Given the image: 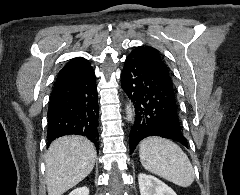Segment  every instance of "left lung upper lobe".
I'll list each match as a JSON object with an SVG mask.
<instances>
[{"instance_id": "1", "label": "left lung upper lobe", "mask_w": 240, "mask_h": 195, "mask_svg": "<svg viewBox=\"0 0 240 195\" xmlns=\"http://www.w3.org/2000/svg\"><path fill=\"white\" fill-rule=\"evenodd\" d=\"M130 56L133 57H141L146 62L152 63L156 65L158 68L162 70L164 74L171 77V73L165 64V62L162 60L160 53L155 48L146 46V47H136L130 54Z\"/></svg>"}]
</instances>
